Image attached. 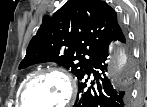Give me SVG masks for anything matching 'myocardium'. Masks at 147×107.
<instances>
[{"mask_svg": "<svg viewBox=\"0 0 147 107\" xmlns=\"http://www.w3.org/2000/svg\"><path fill=\"white\" fill-rule=\"evenodd\" d=\"M43 75H57V76L61 77L67 85V97H66L65 101L62 104H60L58 106H54V107H67L68 105H70L73 102L75 95H76V84L69 74H67L62 69L54 68V67L36 71L32 75L29 76V78L23 84V86L19 92V104L22 107H29L26 104V100H25L26 92H27L28 88L31 86V84L37 78H39L40 76H43Z\"/></svg>", "mask_w": 147, "mask_h": 107, "instance_id": "myocardium-1", "label": "myocardium"}]
</instances>
